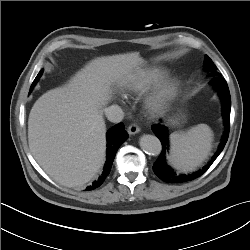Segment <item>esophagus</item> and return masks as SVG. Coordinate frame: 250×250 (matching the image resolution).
Instances as JSON below:
<instances>
[{
  "label": "esophagus",
  "instance_id": "esophagus-1",
  "mask_svg": "<svg viewBox=\"0 0 250 250\" xmlns=\"http://www.w3.org/2000/svg\"><path fill=\"white\" fill-rule=\"evenodd\" d=\"M127 131L130 135H135L140 132V127L137 124L133 123L129 125Z\"/></svg>",
  "mask_w": 250,
  "mask_h": 250
}]
</instances>
